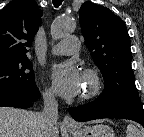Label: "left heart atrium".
<instances>
[{"label": "left heart atrium", "instance_id": "39dd6f15", "mask_svg": "<svg viewBox=\"0 0 144 137\" xmlns=\"http://www.w3.org/2000/svg\"><path fill=\"white\" fill-rule=\"evenodd\" d=\"M52 79L56 92L63 98L72 99L82 90L83 77L72 63L55 66Z\"/></svg>", "mask_w": 144, "mask_h": 137}]
</instances>
